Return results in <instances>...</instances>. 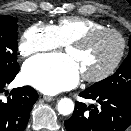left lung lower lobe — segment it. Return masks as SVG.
I'll return each mask as SVG.
<instances>
[{
  "label": "left lung lower lobe",
  "instance_id": "1",
  "mask_svg": "<svg viewBox=\"0 0 131 131\" xmlns=\"http://www.w3.org/2000/svg\"><path fill=\"white\" fill-rule=\"evenodd\" d=\"M80 96L96 100L99 106L76 102L73 115L64 122L67 131H124L131 125V97L88 88Z\"/></svg>",
  "mask_w": 131,
  "mask_h": 131
}]
</instances>
